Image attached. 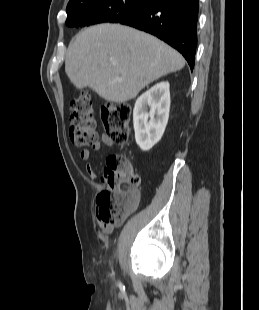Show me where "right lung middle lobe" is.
<instances>
[{"label": "right lung middle lobe", "instance_id": "obj_1", "mask_svg": "<svg viewBox=\"0 0 259 310\" xmlns=\"http://www.w3.org/2000/svg\"><path fill=\"white\" fill-rule=\"evenodd\" d=\"M150 0H101L90 5L67 9V26H89L102 22L117 23L144 8Z\"/></svg>", "mask_w": 259, "mask_h": 310}]
</instances>
